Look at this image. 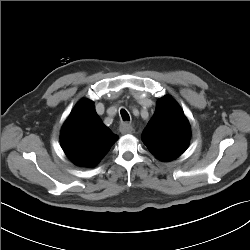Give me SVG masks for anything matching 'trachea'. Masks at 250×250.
Here are the masks:
<instances>
[{
  "label": "trachea",
  "instance_id": "3493384b",
  "mask_svg": "<svg viewBox=\"0 0 250 250\" xmlns=\"http://www.w3.org/2000/svg\"><path fill=\"white\" fill-rule=\"evenodd\" d=\"M120 113H121L122 119L124 121H129L130 120L129 114L127 113L126 110L121 109Z\"/></svg>",
  "mask_w": 250,
  "mask_h": 250
}]
</instances>
